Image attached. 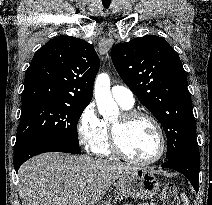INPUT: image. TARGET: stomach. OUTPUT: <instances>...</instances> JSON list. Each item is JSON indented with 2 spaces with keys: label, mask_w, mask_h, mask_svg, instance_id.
I'll use <instances>...</instances> for the list:
<instances>
[{
  "label": "stomach",
  "mask_w": 212,
  "mask_h": 205,
  "mask_svg": "<svg viewBox=\"0 0 212 205\" xmlns=\"http://www.w3.org/2000/svg\"><path fill=\"white\" fill-rule=\"evenodd\" d=\"M118 195L115 200L122 198H134L147 200L153 198L160 190V183L156 176L142 168H136L125 172L115 184ZM99 205H110V200L103 201Z\"/></svg>",
  "instance_id": "1"
}]
</instances>
